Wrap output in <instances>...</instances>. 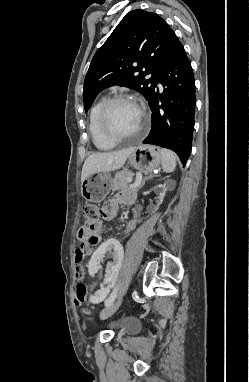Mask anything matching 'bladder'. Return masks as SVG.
Masks as SVG:
<instances>
[{
    "mask_svg": "<svg viewBox=\"0 0 249 382\" xmlns=\"http://www.w3.org/2000/svg\"><path fill=\"white\" fill-rule=\"evenodd\" d=\"M136 327L133 320H124L114 325L113 329L117 332H130Z\"/></svg>",
    "mask_w": 249,
    "mask_h": 382,
    "instance_id": "bladder-1",
    "label": "bladder"
}]
</instances>
